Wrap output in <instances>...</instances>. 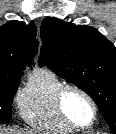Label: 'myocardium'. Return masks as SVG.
<instances>
[{
  "instance_id": "myocardium-1",
  "label": "myocardium",
  "mask_w": 116,
  "mask_h": 134,
  "mask_svg": "<svg viewBox=\"0 0 116 134\" xmlns=\"http://www.w3.org/2000/svg\"><path fill=\"white\" fill-rule=\"evenodd\" d=\"M69 91H75L81 94L89 102L93 112L92 120L89 124L80 125L71 119L67 114L64 107V99ZM55 106L60 118L74 129H88L96 123L98 118V108L92 96L86 90L74 84H64L59 88L55 96Z\"/></svg>"
}]
</instances>
